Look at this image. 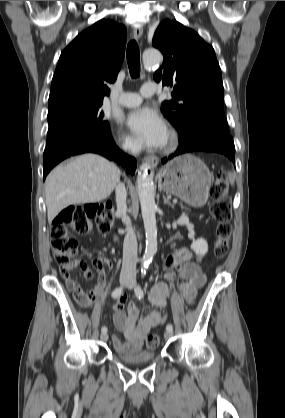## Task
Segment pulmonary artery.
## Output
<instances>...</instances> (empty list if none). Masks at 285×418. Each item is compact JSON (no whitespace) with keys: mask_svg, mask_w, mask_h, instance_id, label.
<instances>
[{"mask_svg":"<svg viewBox=\"0 0 285 418\" xmlns=\"http://www.w3.org/2000/svg\"><path fill=\"white\" fill-rule=\"evenodd\" d=\"M157 93V88L152 83H144L141 88V94L124 93L117 103L124 107L137 106L142 102L143 97H152Z\"/></svg>","mask_w":285,"mask_h":418,"instance_id":"e3ab8cb5","label":"pulmonary artery"}]
</instances>
